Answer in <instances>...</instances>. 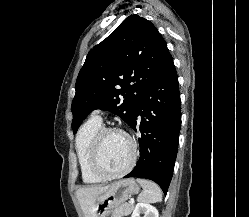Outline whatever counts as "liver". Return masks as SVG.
<instances>
[{
  "instance_id": "1",
  "label": "liver",
  "mask_w": 249,
  "mask_h": 217,
  "mask_svg": "<svg viewBox=\"0 0 249 217\" xmlns=\"http://www.w3.org/2000/svg\"><path fill=\"white\" fill-rule=\"evenodd\" d=\"M108 189L109 186H91L77 190L76 196L84 213V217H97L96 199Z\"/></svg>"
}]
</instances>
